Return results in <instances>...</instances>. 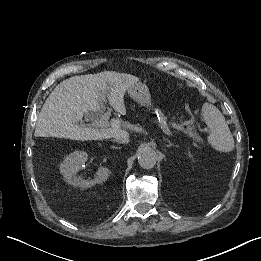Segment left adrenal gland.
I'll return each instance as SVG.
<instances>
[{
	"instance_id": "a2214340",
	"label": "left adrenal gland",
	"mask_w": 261,
	"mask_h": 261,
	"mask_svg": "<svg viewBox=\"0 0 261 261\" xmlns=\"http://www.w3.org/2000/svg\"><path fill=\"white\" fill-rule=\"evenodd\" d=\"M163 140L168 142V147L174 146V144L168 138L163 137Z\"/></svg>"
}]
</instances>
